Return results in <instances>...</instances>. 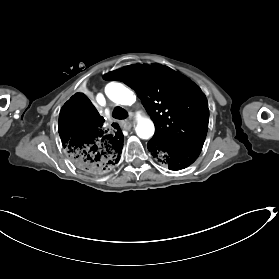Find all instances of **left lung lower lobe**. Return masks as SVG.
<instances>
[{
	"label": "left lung lower lobe",
	"mask_w": 279,
	"mask_h": 279,
	"mask_svg": "<svg viewBox=\"0 0 279 279\" xmlns=\"http://www.w3.org/2000/svg\"><path fill=\"white\" fill-rule=\"evenodd\" d=\"M148 150L160 162L168 165L170 170L186 168L193 163L201 152L199 147L175 146L149 141Z\"/></svg>",
	"instance_id": "obj_1"
}]
</instances>
